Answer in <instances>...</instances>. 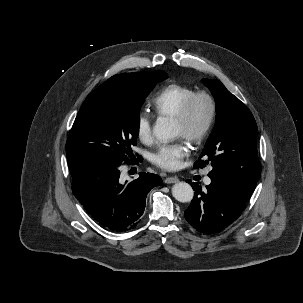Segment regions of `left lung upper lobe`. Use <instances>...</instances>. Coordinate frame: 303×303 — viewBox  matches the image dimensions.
Segmentation results:
<instances>
[{"label": "left lung upper lobe", "mask_w": 303, "mask_h": 303, "mask_svg": "<svg viewBox=\"0 0 303 303\" xmlns=\"http://www.w3.org/2000/svg\"><path fill=\"white\" fill-rule=\"evenodd\" d=\"M216 101V124L194 168L234 180L254 191L261 174L257 125L250 110L218 80L202 79ZM203 158V159H202Z\"/></svg>", "instance_id": "left-lung-upper-lobe-1"}]
</instances>
